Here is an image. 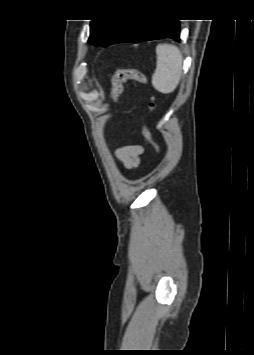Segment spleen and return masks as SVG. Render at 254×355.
Returning a JSON list of instances; mask_svg holds the SVG:
<instances>
[{"label":"spleen","instance_id":"spleen-1","mask_svg":"<svg viewBox=\"0 0 254 355\" xmlns=\"http://www.w3.org/2000/svg\"><path fill=\"white\" fill-rule=\"evenodd\" d=\"M156 54L157 64L152 76V85L161 93H172L182 75V53L174 45L159 44L156 47Z\"/></svg>","mask_w":254,"mask_h":355}]
</instances>
